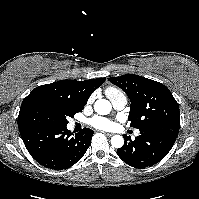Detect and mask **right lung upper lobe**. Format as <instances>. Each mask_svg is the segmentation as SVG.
Here are the masks:
<instances>
[{"label":"right lung upper lobe","instance_id":"cb5924a9","mask_svg":"<svg viewBox=\"0 0 199 199\" xmlns=\"http://www.w3.org/2000/svg\"><path fill=\"white\" fill-rule=\"evenodd\" d=\"M105 80L106 78L85 81L66 80L38 86L24 98L19 114L28 105L45 104L57 99L72 107L83 109L92 92L102 85Z\"/></svg>","mask_w":199,"mask_h":199}]
</instances>
